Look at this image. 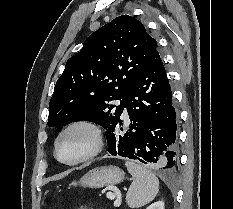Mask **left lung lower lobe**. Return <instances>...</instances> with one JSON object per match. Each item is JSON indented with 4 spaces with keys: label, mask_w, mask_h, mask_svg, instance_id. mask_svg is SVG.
I'll use <instances>...</instances> for the list:
<instances>
[{
    "label": "left lung lower lobe",
    "mask_w": 233,
    "mask_h": 209,
    "mask_svg": "<svg viewBox=\"0 0 233 209\" xmlns=\"http://www.w3.org/2000/svg\"><path fill=\"white\" fill-rule=\"evenodd\" d=\"M130 119L119 118L106 130L107 151L172 170L178 161L177 116L163 62L156 51L132 83L126 97ZM110 156V155H108Z\"/></svg>",
    "instance_id": "left-lung-lower-lobe-1"
}]
</instances>
